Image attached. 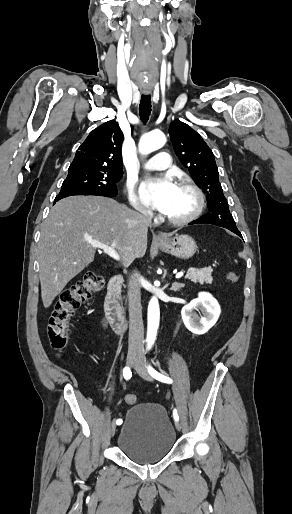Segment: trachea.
Returning <instances> with one entry per match:
<instances>
[{
  "instance_id": "trachea-1",
  "label": "trachea",
  "mask_w": 292,
  "mask_h": 514,
  "mask_svg": "<svg viewBox=\"0 0 292 514\" xmlns=\"http://www.w3.org/2000/svg\"><path fill=\"white\" fill-rule=\"evenodd\" d=\"M151 96L150 95H142L139 105V115L141 121L146 124L149 120L151 114Z\"/></svg>"
}]
</instances>
